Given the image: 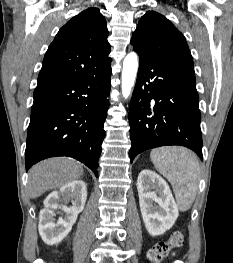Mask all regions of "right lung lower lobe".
Wrapping results in <instances>:
<instances>
[{"label":"right lung lower lobe","instance_id":"obj_1","mask_svg":"<svg viewBox=\"0 0 233 263\" xmlns=\"http://www.w3.org/2000/svg\"><path fill=\"white\" fill-rule=\"evenodd\" d=\"M111 73L110 60L87 77L35 88L27 130L26 170L49 157L69 156L98 176Z\"/></svg>","mask_w":233,"mask_h":263}]
</instances>
